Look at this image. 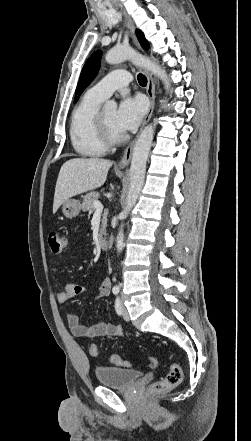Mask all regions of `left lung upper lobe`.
I'll return each mask as SVG.
<instances>
[{
  "instance_id": "1",
  "label": "left lung upper lobe",
  "mask_w": 251,
  "mask_h": 441,
  "mask_svg": "<svg viewBox=\"0 0 251 441\" xmlns=\"http://www.w3.org/2000/svg\"><path fill=\"white\" fill-rule=\"evenodd\" d=\"M136 35L138 37V40L142 48L148 50L149 43L145 39L144 34L140 30H136ZM100 57H101V52L96 51L90 56V58L85 63L81 71L79 83L76 89L77 94H80L95 78L100 66ZM75 101H77V98L75 99Z\"/></svg>"
}]
</instances>
